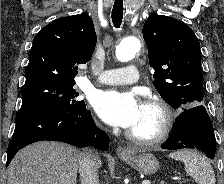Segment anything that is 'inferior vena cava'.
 <instances>
[{
	"mask_svg": "<svg viewBox=\"0 0 224 184\" xmlns=\"http://www.w3.org/2000/svg\"><path fill=\"white\" fill-rule=\"evenodd\" d=\"M97 155L91 150H83L79 159L81 184H99L97 173Z\"/></svg>",
	"mask_w": 224,
	"mask_h": 184,
	"instance_id": "inferior-vena-cava-1",
	"label": "inferior vena cava"
}]
</instances>
